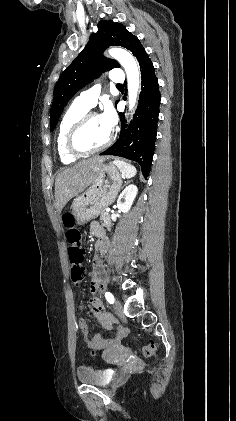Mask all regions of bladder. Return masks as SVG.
I'll list each match as a JSON object with an SVG mask.
<instances>
[{
	"label": "bladder",
	"mask_w": 236,
	"mask_h": 421,
	"mask_svg": "<svg viewBox=\"0 0 236 421\" xmlns=\"http://www.w3.org/2000/svg\"><path fill=\"white\" fill-rule=\"evenodd\" d=\"M77 381L94 386H104L107 384L104 374L93 366H86L77 373Z\"/></svg>",
	"instance_id": "1"
}]
</instances>
